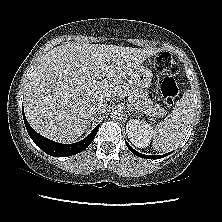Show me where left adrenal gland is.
<instances>
[{"mask_svg": "<svg viewBox=\"0 0 222 222\" xmlns=\"http://www.w3.org/2000/svg\"><path fill=\"white\" fill-rule=\"evenodd\" d=\"M127 111H128V113L131 112V111H132V112H136V113L138 112L136 109H134V108H133L131 105H129V104L127 105Z\"/></svg>", "mask_w": 222, "mask_h": 222, "instance_id": "a2214340", "label": "left adrenal gland"}]
</instances>
